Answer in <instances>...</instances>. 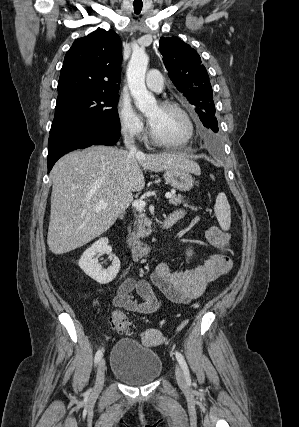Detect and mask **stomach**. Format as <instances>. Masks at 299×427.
Instances as JSON below:
<instances>
[{"instance_id": "1", "label": "stomach", "mask_w": 299, "mask_h": 427, "mask_svg": "<svg viewBox=\"0 0 299 427\" xmlns=\"http://www.w3.org/2000/svg\"><path fill=\"white\" fill-rule=\"evenodd\" d=\"M164 179L173 188L181 192L189 191L194 185V178L191 172L183 168L165 170Z\"/></svg>"}]
</instances>
